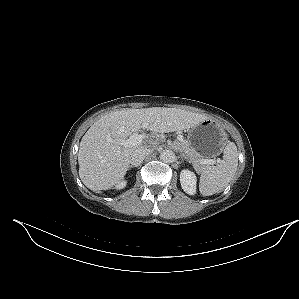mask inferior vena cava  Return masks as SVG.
<instances>
[{
  "mask_svg": "<svg viewBox=\"0 0 299 299\" xmlns=\"http://www.w3.org/2000/svg\"><path fill=\"white\" fill-rule=\"evenodd\" d=\"M152 152L151 148L139 147L130 156L131 165L137 167L142 164L145 157Z\"/></svg>",
  "mask_w": 299,
  "mask_h": 299,
  "instance_id": "602c4592",
  "label": "inferior vena cava"
}]
</instances>
